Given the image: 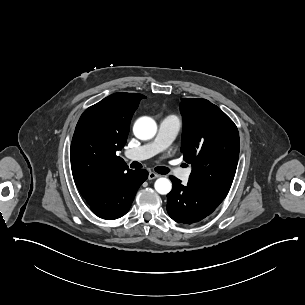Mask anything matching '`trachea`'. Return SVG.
<instances>
[{
    "label": "trachea",
    "instance_id": "3493384b",
    "mask_svg": "<svg viewBox=\"0 0 305 305\" xmlns=\"http://www.w3.org/2000/svg\"><path fill=\"white\" fill-rule=\"evenodd\" d=\"M131 168H135V169H139V168H142L143 166L139 163V162H132V164L130 165ZM154 170L161 174V175H164V174H167L169 172V169L167 167H164V166H157L154 168Z\"/></svg>",
    "mask_w": 305,
    "mask_h": 305
}]
</instances>
